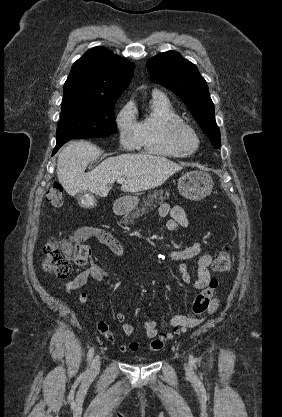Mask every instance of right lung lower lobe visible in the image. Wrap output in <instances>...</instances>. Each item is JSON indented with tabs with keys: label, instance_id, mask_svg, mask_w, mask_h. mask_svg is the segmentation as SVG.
Returning <instances> with one entry per match:
<instances>
[{
	"label": "right lung lower lobe",
	"instance_id": "1",
	"mask_svg": "<svg viewBox=\"0 0 282 417\" xmlns=\"http://www.w3.org/2000/svg\"><path fill=\"white\" fill-rule=\"evenodd\" d=\"M69 140H71V139H69ZM69 140H64V141H61V142H57V144H56V147H55V149H54V151H53V154H55L57 151H58V149L64 144V143H66L67 141H69Z\"/></svg>",
	"mask_w": 282,
	"mask_h": 417
}]
</instances>
